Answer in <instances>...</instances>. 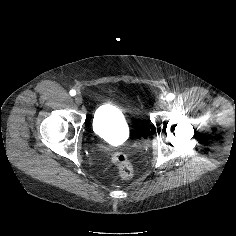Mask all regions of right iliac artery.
Listing matches in <instances>:
<instances>
[{
	"label": "right iliac artery",
	"instance_id": "82829eb1",
	"mask_svg": "<svg viewBox=\"0 0 236 236\" xmlns=\"http://www.w3.org/2000/svg\"><path fill=\"white\" fill-rule=\"evenodd\" d=\"M69 93H70V95H71V96H74V95H76V91H75V90H70V92H69Z\"/></svg>",
	"mask_w": 236,
	"mask_h": 236
}]
</instances>
